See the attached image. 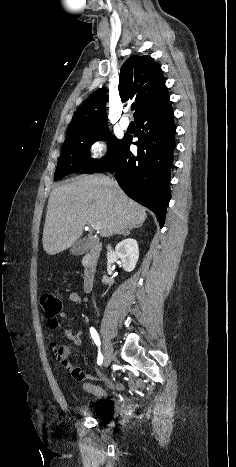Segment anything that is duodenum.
<instances>
[{
    "label": "duodenum",
    "instance_id": "obj_1",
    "mask_svg": "<svg viewBox=\"0 0 236 467\" xmlns=\"http://www.w3.org/2000/svg\"><path fill=\"white\" fill-rule=\"evenodd\" d=\"M101 252V244L99 242L89 243L88 252L86 254V263L84 267V274L82 279V287L84 292L88 293L91 291L98 264V257Z\"/></svg>",
    "mask_w": 236,
    "mask_h": 467
}]
</instances>
